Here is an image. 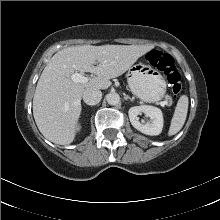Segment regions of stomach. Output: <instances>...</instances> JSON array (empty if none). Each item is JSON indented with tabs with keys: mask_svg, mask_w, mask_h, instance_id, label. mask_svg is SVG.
I'll return each mask as SVG.
<instances>
[{
	"mask_svg": "<svg viewBox=\"0 0 220 220\" xmlns=\"http://www.w3.org/2000/svg\"><path fill=\"white\" fill-rule=\"evenodd\" d=\"M127 81L131 92L145 102L160 101L166 94V80L148 65L139 63L132 66Z\"/></svg>",
	"mask_w": 220,
	"mask_h": 220,
	"instance_id": "obj_1",
	"label": "stomach"
}]
</instances>
